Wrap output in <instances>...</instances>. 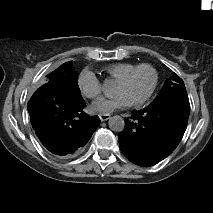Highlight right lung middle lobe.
Segmentation results:
<instances>
[{
	"instance_id": "right-lung-middle-lobe-1",
	"label": "right lung middle lobe",
	"mask_w": 213,
	"mask_h": 213,
	"mask_svg": "<svg viewBox=\"0 0 213 213\" xmlns=\"http://www.w3.org/2000/svg\"><path fill=\"white\" fill-rule=\"evenodd\" d=\"M46 83L60 84L66 88H69L77 93H81L77 85V75L73 71L72 61L62 64L55 71L46 76Z\"/></svg>"
}]
</instances>
